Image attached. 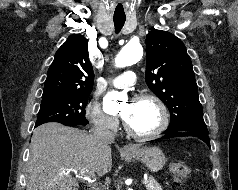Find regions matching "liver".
Here are the masks:
<instances>
[{
  "label": "liver",
  "mask_w": 238,
  "mask_h": 190,
  "mask_svg": "<svg viewBox=\"0 0 238 190\" xmlns=\"http://www.w3.org/2000/svg\"><path fill=\"white\" fill-rule=\"evenodd\" d=\"M111 167V148L101 146L92 134L46 123L31 138L26 190H78L79 183L69 170L79 176L104 175Z\"/></svg>",
  "instance_id": "6515ba94"
}]
</instances>
